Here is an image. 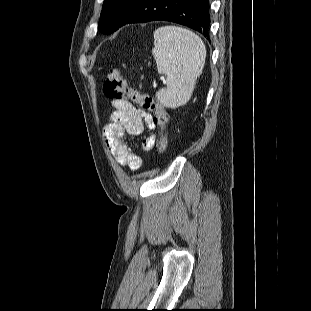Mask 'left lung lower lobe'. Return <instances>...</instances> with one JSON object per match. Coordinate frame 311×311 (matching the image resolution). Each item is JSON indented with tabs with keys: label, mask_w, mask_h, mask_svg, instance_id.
I'll use <instances>...</instances> for the list:
<instances>
[{
	"label": "left lung lower lobe",
	"mask_w": 311,
	"mask_h": 311,
	"mask_svg": "<svg viewBox=\"0 0 311 311\" xmlns=\"http://www.w3.org/2000/svg\"><path fill=\"white\" fill-rule=\"evenodd\" d=\"M159 20L187 26L209 38V0H130L114 31L125 24Z\"/></svg>",
	"instance_id": "obj_1"
}]
</instances>
